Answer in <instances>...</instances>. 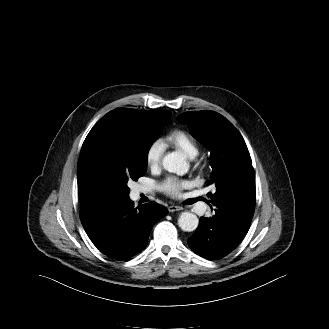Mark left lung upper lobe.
I'll return each mask as SVG.
<instances>
[{
  "instance_id": "1",
  "label": "left lung upper lobe",
  "mask_w": 329,
  "mask_h": 329,
  "mask_svg": "<svg viewBox=\"0 0 329 329\" xmlns=\"http://www.w3.org/2000/svg\"><path fill=\"white\" fill-rule=\"evenodd\" d=\"M177 121L188 125L191 135L210 150L212 174L207 185L216 188L214 194H208L210 202L214 205L236 196L254 174L249 151L239 131L213 111H189L180 114Z\"/></svg>"
}]
</instances>
